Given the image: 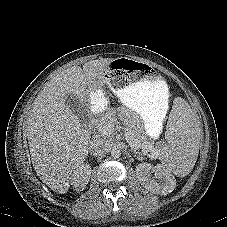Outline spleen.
Returning a JSON list of instances; mask_svg holds the SVG:
<instances>
[{
    "label": "spleen",
    "mask_w": 227,
    "mask_h": 227,
    "mask_svg": "<svg viewBox=\"0 0 227 227\" xmlns=\"http://www.w3.org/2000/svg\"><path fill=\"white\" fill-rule=\"evenodd\" d=\"M171 113L166 131L168 144L159 155L171 172L184 177L191 172L197 160L201 128L196 117L191 114L189 101H174Z\"/></svg>",
    "instance_id": "3e777b00"
}]
</instances>
